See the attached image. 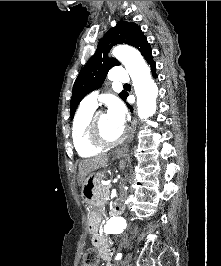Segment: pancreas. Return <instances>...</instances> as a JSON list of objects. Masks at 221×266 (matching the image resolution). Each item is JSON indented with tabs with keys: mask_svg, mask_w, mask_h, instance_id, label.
<instances>
[{
	"mask_svg": "<svg viewBox=\"0 0 221 266\" xmlns=\"http://www.w3.org/2000/svg\"><path fill=\"white\" fill-rule=\"evenodd\" d=\"M101 189H102L103 197L104 198H108L109 194H110V190H109L110 189V185H103L102 184Z\"/></svg>",
	"mask_w": 221,
	"mask_h": 266,
	"instance_id": "pancreas-1",
	"label": "pancreas"
}]
</instances>
